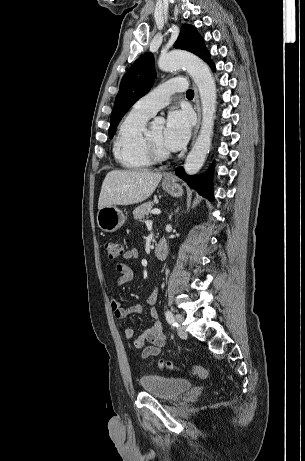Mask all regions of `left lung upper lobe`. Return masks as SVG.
<instances>
[{"instance_id": "obj_1", "label": "left lung upper lobe", "mask_w": 305, "mask_h": 461, "mask_svg": "<svg viewBox=\"0 0 305 461\" xmlns=\"http://www.w3.org/2000/svg\"><path fill=\"white\" fill-rule=\"evenodd\" d=\"M174 47L190 51L204 61H210V56L204 45L203 38L194 26L188 24L183 25L179 37L174 43ZM155 73L153 54L146 53L139 57L123 76L111 114V124L109 128L110 138L113 137L118 123L128 109L139 98L148 93L153 85Z\"/></svg>"}]
</instances>
